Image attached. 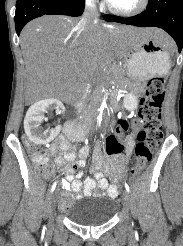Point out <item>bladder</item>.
Returning a JSON list of instances; mask_svg holds the SVG:
<instances>
[{
	"instance_id": "obj_1",
	"label": "bladder",
	"mask_w": 183,
	"mask_h": 246,
	"mask_svg": "<svg viewBox=\"0 0 183 246\" xmlns=\"http://www.w3.org/2000/svg\"><path fill=\"white\" fill-rule=\"evenodd\" d=\"M118 206L114 198L97 193L73 203L65 214L71 222L79 226H101L114 217Z\"/></svg>"
}]
</instances>
